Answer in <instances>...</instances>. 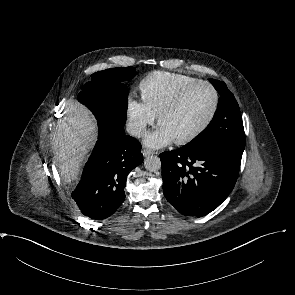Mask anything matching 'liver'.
Listing matches in <instances>:
<instances>
[{
    "label": "liver",
    "mask_w": 295,
    "mask_h": 295,
    "mask_svg": "<svg viewBox=\"0 0 295 295\" xmlns=\"http://www.w3.org/2000/svg\"><path fill=\"white\" fill-rule=\"evenodd\" d=\"M96 137L97 124L91 112L78 102L68 100L64 116L55 125L52 140L64 181L70 183L78 178Z\"/></svg>",
    "instance_id": "6515ba94"
}]
</instances>
